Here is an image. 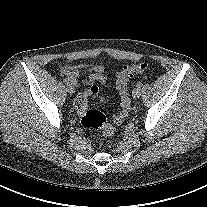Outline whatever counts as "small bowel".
Returning <instances> with one entry per match:
<instances>
[{
    "mask_svg": "<svg viewBox=\"0 0 207 207\" xmlns=\"http://www.w3.org/2000/svg\"><path fill=\"white\" fill-rule=\"evenodd\" d=\"M60 71L74 86L80 84L93 85L95 83L105 84L107 82V71L102 65H67L63 66ZM83 73H88V76L80 80Z\"/></svg>",
    "mask_w": 207,
    "mask_h": 207,
    "instance_id": "obj_1",
    "label": "small bowel"
}]
</instances>
